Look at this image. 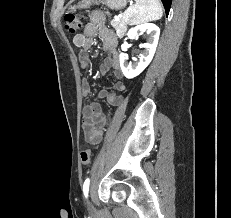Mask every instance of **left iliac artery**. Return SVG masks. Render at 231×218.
<instances>
[{
	"instance_id": "left-iliac-artery-1",
	"label": "left iliac artery",
	"mask_w": 231,
	"mask_h": 218,
	"mask_svg": "<svg viewBox=\"0 0 231 218\" xmlns=\"http://www.w3.org/2000/svg\"><path fill=\"white\" fill-rule=\"evenodd\" d=\"M89 184H90V180L89 178H87L83 184V192H84V196L87 197L88 196V192H89Z\"/></svg>"
}]
</instances>
